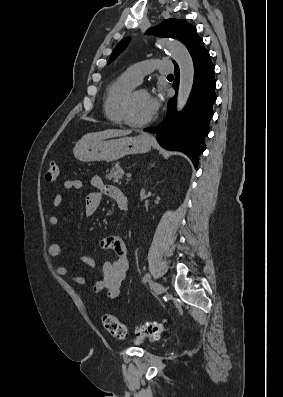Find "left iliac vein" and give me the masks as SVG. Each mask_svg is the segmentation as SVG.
<instances>
[{"instance_id": "4c4485c4", "label": "left iliac vein", "mask_w": 283, "mask_h": 397, "mask_svg": "<svg viewBox=\"0 0 283 397\" xmlns=\"http://www.w3.org/2000/svg\"><path fill=\"white\" fill-rule=\"evenodd\" d=\"M163 290H164V289H163V286H162L160 283L156 282V283L154 284V294H155L156 296L162 294V293H163Z\"/></svg>"}]
</instances>
